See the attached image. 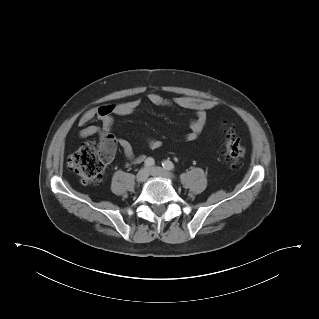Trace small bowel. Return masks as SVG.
I'll return each instance as SVG.
<instances>
[{
  "instance_id": "1",
  "label": "small bowel",
  "mask_w": 319,
  "mask_h": 319,
  "mask_svg": "<svg viewBox=\"0 0 319 319\" xmlns=\"http://www.w3.org/2000/svg\"><path fill=\"white\" fill-rule=\"evenodd\" d=\"M149 103L158 106L176 105L181 108L191 110L196 117L189 123V131L185 134V139L188 142L195 141L208 123L207 112L219 106L215 100L203 99L197 97L178 96L173 99H167L156 92H151L146 96ZM140 99H133L121 103L104 104L97 107H92L86 110L79 119L81 130L79 131L80 138H87L94 135L103 139L110 135L116 116H125L133 113L141 105ZM99 120L102 126L91 125V122ZM119 147L122 149L125 157L132 163H140L145 157L135 153L131 143L123 138L117 140ZM148 144L152 149L161 147V141L156 137H150Z\"/></svg>"
}]
</instances>
